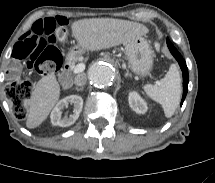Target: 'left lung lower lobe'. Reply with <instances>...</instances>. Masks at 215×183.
<instances>
[{
  "mask_svg": "<svg viewBox=\"0 0 215 183\" xmlns=\"http://www.w3.org/2000/svg\"><path fill=\"white\" fill-rule=\"evenodd\" d=\"M167 45L170 49L172 55L175 57V59L178 61L180 68L183 72V97L181 100V106L183 104V101L186 97L187 91H188V82H189V76H188V68L186 66V62L181 56V54L177 51V49L173 46V44L167 39Z\"/></svg>",
  "mask_w": 215,
  "mask_h": 183,
  "instance_id": "obj_1",
  "label": "left lung lower lobe"
}]
</instances>
